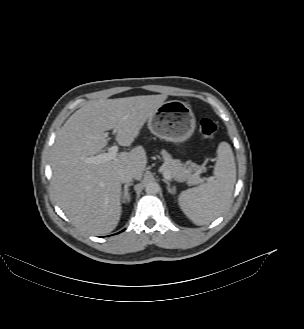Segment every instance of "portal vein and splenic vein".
Here are the masks:
<instances>
[{
    "label": "portal vein and splenic vein",
    "instance_id": "18ae733b",
    "mask_svg": "<svg viewBox=\"0 0 304 329\" xmlns=\"http://www.w3.org/2000/svg\"><path fill=\"white\" fill-rule=\"evenodd\" d=\"M106 136H107V134H106ZM118 150H119V147L117 145H114L108 149V152L101 153L96 156L88 157V158H86L85 162L91 163V164H100L103 162L113 160L116 158ZM163 175L168 180L172 179L171 175L167 171H164Z\"/></svg>",
    "mask_w": 304,
    "mask_h": 329
}]
</instances>
